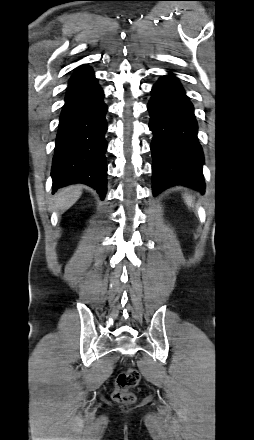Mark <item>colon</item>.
<instances>
[{
  "mask_svg": "<svg viewBox=\"0 0 254 440\" xmlns=\"http://www.w3.org/2000/svg\"><path fill=\"white\" fill-rule=\"evenodd\" d=\"M139 380V372L134 368L120 372L115 379L113 399L119 403H133L135 396L130 390L139 383Z\"/></svg>",
  "mask_w": 254,
  "mask_h": 440,
  "instance_id": "1",
  "label": "colon"
}]
</instances>
